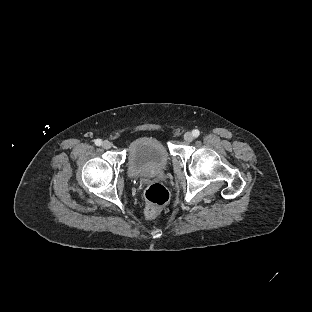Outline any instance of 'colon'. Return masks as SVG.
<instances>
[{"instance_id":"colon-1","label":"colon","mask_w":312,"mask_h":312,"mask_svg":"<svg viewBox=\"0 0 312 312\" xmlns=\"http://www.w3.org/2000/svg\"><path fill=\"white\" fill-rule=\"evenodd\" d=\"M144 196L147 203L146 213L148 215L157 214L169 199L167 189L159 183L150 184L145 189Z\"/></svg>"}]
</instances>
